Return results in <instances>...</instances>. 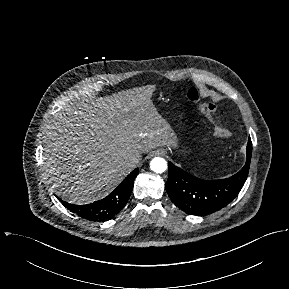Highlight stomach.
I'll return each mask as SVG.
<instances>
[{"label":"stomach","mask_w":289,"mask_h":289,"mask_svg":"<svg viewBox=\"0 0 289 289\" xmlns=\"http://www.w3.org/2000/svg\"><path fill=\"white\" fill-rule=\"evenodd\" d=\"M168 147V149H176V144H172V143H169L166 145Z\"/></svg>","instance_id":"0dacf381"}]
</instances>
